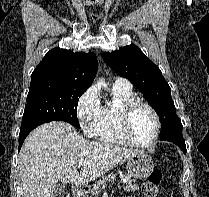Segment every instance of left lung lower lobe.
<instances>
[{"instance_id":"obj_1","label":"left lung lower lobe","mask_w":209,"mask_h":197,"mask_svg":"<svg viewBox=\"0 0 209 197\" xmlns=\"http://www.w3.org/2000/svg\"><path fill=\"white\" fill-rule=\"evenodd\" d=\"M160 140L170 141L176 144L183 152L186 153V145L182 134H173L160 138Z\"/></svg>"}]
</instances>
